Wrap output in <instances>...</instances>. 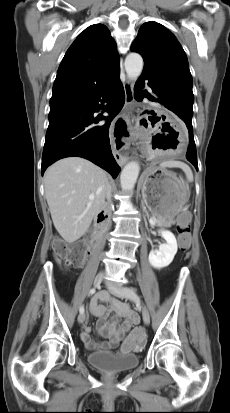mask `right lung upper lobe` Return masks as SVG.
Returning <instances> with one entry per match:
<instances>
[{
    "instance_id": "1",
    "label": "right lung upper lobe",
    "mask_w": 230,
    "mask_h": 413,
    "mask_svg": "<svg viewBox=\"0 0 230 413\" xmlns=\"http://www.w3.org/2000/svg\"><path fill=\"white\" fill-rule=\"evenodd\" d=\"M120 60L108 28L94 24L72 43L53 84L50 106L93 96L119 75Z\"/></svg>"
}]
</instances>
